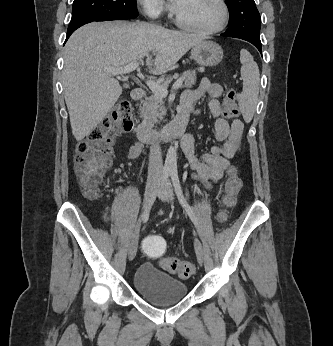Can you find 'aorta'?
I'll return each mask as SVG.
<instances>
[{
    "instance_id": "762f6f07",
    "label": "aorta",
    "mask_w": 333,
    "mask_h": 346,
    "mask_svg": "<svg viewBox=\"0 0 333 346\" xmlns=\"http://www.w3.org/2000/svg\"><path fill=\"white\" fill-rule=\"evenodd\" d=\"M177 166V153L174 146H170L165 160V167L175 169Z\"/></svg>"
}]
</instances>
